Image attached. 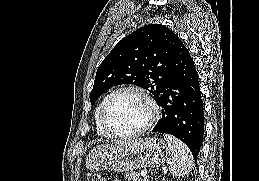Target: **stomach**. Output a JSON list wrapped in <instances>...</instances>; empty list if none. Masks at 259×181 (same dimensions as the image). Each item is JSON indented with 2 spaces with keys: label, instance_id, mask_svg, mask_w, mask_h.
I'll list each match as a JSON object with an SVG mask.
<instances>
[{
  "label": "stomach",
  "instance_id": "1",
  "mask_svg": "<svg viewBox=\"0 0 259 181\" xmlns=\"http://www.w3.org/2000/svg\"><path fill=\"white\" fill-rule=\"evenodd\" d=\"M168 156V147L162 139L144 138L98 146L88 155L86 166L91 171L130 172L138 168L159 167Z\"/></svg>",
  "mask_w": 259,
  "mask_h": 181
}]
</instances>
